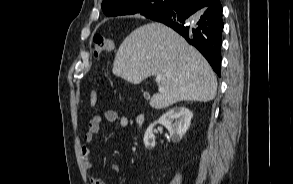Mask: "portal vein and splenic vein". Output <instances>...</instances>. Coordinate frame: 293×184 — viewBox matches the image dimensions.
Instances as JSON below:
<instances>
[{"label":"portal vein and splenic vein","instance_id":"18ae733b","mask_svg":"<svg viewBox=\"0 0 293 184\" xmlns=\"http://www.w3.org/2000/svg\"><path fill=\"white\" fill-rule=\"evenodd\" d=\"M160 78H161V76H157V77H156V80H157V81H160ZM159 90H160L161 92H164V89H161V88H160Z\"/></svg>","mask_w":293,"mask_h":184}]
</instances>
